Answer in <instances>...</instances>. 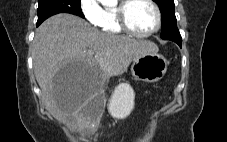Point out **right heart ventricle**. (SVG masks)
Wrapping results in <instances>:
<instances>
[{"instance_id":"right-heart-ventricle-1","label":"right heart ventricle","mask_w":227,"mask_h":142,"mask_svg":"<svg viewBox=\"0 0 227 142\" xmlns=\"http://www.w3.org/2000/svg\"><path fill=\"white\" fill-rule=\"evenodd\" d=\"M100 29L107 34H122L123 30L120 28L115 8L106 7L102 11V17L98 24Z\"/></svg>"}]
</instances>
